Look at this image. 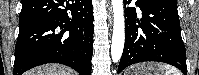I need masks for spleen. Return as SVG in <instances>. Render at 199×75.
Returning <instances> with one entry per match:
<instances>
[{"mask_svg":"<svg viewBox=\"0 0 199 75\" xmlns=\"http://www.w3.org/2000/svg\"><path fill=\"white\" fill-rule=\"evenodd\" d=\"M159 67L164 71V75H181V72L176 68L170 67L169 65L163 64Z\"/></svg>","mask_w":199,"mask_h":75,"instance_id":"obj_1","label":"spleen"}]
</instances>
